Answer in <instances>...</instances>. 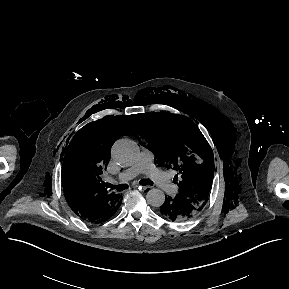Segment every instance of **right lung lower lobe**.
Here are the masks:
<instances>
[{
    "label": "right lung lower lobe",
    "instance_id": "right-lung-lower-lobe-1",
    "mask_svg": "<svg viewBox=\"0 0 289 289\" xmlns=\"http://www.w3.org/2000/svg\"><path fill=\"white\" fill-rule=\"evenodd\" d=\"M122 201V199H121ZM121 201L120 203L115 206L114 208H110L108 209L98 220L94 221L93 223H101V222H104L106 220H108L110 217H112V215L117 211V209L119 208L120 204H121Z\"/></svg>",
    "mask_w": 289,
    "mask_h": 289
}]
</instances>
